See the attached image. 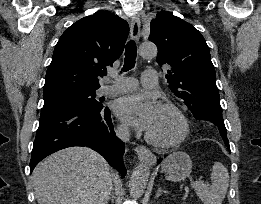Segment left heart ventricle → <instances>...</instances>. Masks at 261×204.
<instances>
[{"mask_svg": "<svg viewBox=\"0 0 261 204\" xmlns=\"http://www.w3.org/2000/svg\"><path fill=\"white\" fill-rule=\"evenodd\" d=\"M181 130L177 116L168 109L156 107L154 118L147 133L160 141H169L176 138Z\"/></svg>", "mask_w": 261, "mask_h": 204, "instance_id": "b2bd125f", "label": "left heart ventricle"}]
</instances>
